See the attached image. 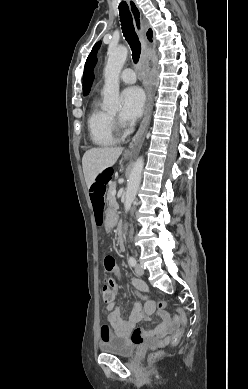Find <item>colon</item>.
<instances>
[{
    "label": "colon",
    "instance_id": "colon-1",
    "mask_svg": "<svg viewBox=\"0 0 248 389\" xmlns=\"http://www.w3.org/2000/svg\"><path fill=\"white\" fill-rule=\"evenodd\" d=\"M111 175H112L111 170H102L101 175L98 176V179L95 181V184L90 189V201L95 214V218L102 216L104 213L105 192L107 191V186L111 181ZM103 265L106 273L103 278L104 287L102 290V297H103V301L107 303L112 299V295L110 291L113 292L114 294L118 293L119 284H122L124 282L125 274L120 273L121 269L117 267V265L115 264L114 257L112 256H106L103 260ZM109 272L115 276L117 282L115 279H110V277L108 276ZM109 286H110V290H109ZM134 293L139 298L146 300L147 302H150L152 307L158 308L159 310H163L167 306V301L154 302L150 297H148L143 293H140L136 290L134 291ZM177 313H178V319L181 322V327H179L172 335L171 337L172 344H177L179 342V340L185 334L186 327L188 325V319L185 311L181 307H179L177 309Z\"/></svg>",
    "mask_w": 248,
    "mask_h": 389
}]
</instances>
